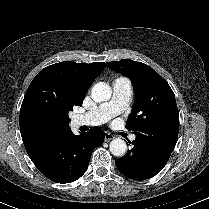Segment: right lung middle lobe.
Listing matches in <instances>:
<instances>
[{
  "instance_id": "right-lung-middle-lobe-1",
  "label": "right lung middle lobe",
  "mask_w": 209,
  "mask_h": 209,
  "mask_svg": "<svg viewBox=\"0 0 209 209\" xmlns=\"http://www.w3.org/2000/svg\"><path fill=\"white\" fill-rule=\"evenodd\" d=\"M83 100L74 80L53 72H39L26 91L24 111L38 124L69 127L68 113L74 106H81Z\"/></svg>"
}]
</instances>
